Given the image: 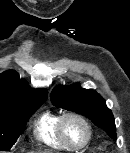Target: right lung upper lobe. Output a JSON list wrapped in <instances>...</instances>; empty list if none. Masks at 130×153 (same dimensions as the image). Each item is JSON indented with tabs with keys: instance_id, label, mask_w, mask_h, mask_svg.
<instances>
[{
	"instance_id": "right-lung-upper-lobe-1",
	"label": "right lung upper lobe",
	"mask_w": 130,
	"mask_h": 153,
	"mask_svg": "<svg viewBox=\"0 0 130 153\" xmlns=\"http://www.w3.org/2000/svg\"><path fill=\"white\" fill-rule=\"evenodd\" d=\"M45 89H31L15 71L0 74V110H17L47 99Z\"/></svg>"
}]
</instances>
